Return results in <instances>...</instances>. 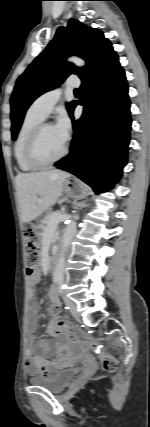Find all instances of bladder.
<instances>
[{"instance_id":"obj_1","label":"bladder","mask_w":150,"mask_h":427,"mask_svg":"<svg viewBox=\"0 0 150 427\" xmlns=\"http://www.w3.org/2000/svg\"><path fill=\"white\" fill-rule=\"evenodd\" d=\"M77 369L74 367L54 370L46 376H32L30 384L45 388L51 392L63 391L76 377Z\"/></svg>"}]
</instances>
